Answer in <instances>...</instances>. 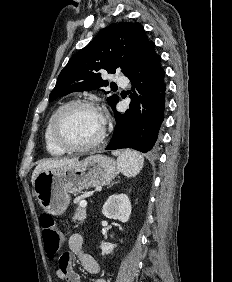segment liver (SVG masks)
<instances>
[{"mask_svg":"<svg viewBox=\"0 0 232 282\" xmlns=\"http://www.w3.org/2000/svg\"><path fill=\"white\" fill-rule=\"evenodd\" d=\"M76 162H78V159H55V160L41 161L33 171L32 178H31L32 184H34L36 177L42 171H46V170L53 169V168H59L63 166H68V165H73Z\"/></svg>","mask_w":232,"mask_h":282,"instance_id":"obj_1","label":"liver"}]
</instances>
